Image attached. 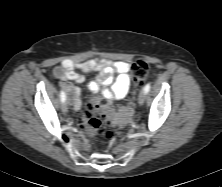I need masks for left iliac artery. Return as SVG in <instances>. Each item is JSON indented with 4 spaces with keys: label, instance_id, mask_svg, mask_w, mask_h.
Segmentation results:
<instances>
[{
    "label": "left iliac artery",
    "instance_id": "44dca946",
    "mask_svg": "<svg viewBox=\"0 0 222 187\" xmlns=\"http://www.w3.org/2000/svg\"><path fill=\"white\" fill-rule=\"evenodd\" d=\"M150 88H151V85L148 83V84L145 85L144 91H145L146 93H148L149 90H150Z\"/></svg>",
    "mask_w": 222,
    "mask_h": 187
}]
</instances>
